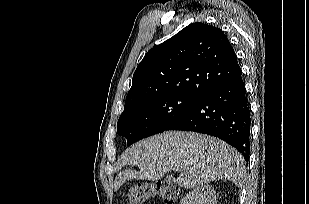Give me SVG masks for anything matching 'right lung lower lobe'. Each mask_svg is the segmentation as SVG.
<instances>
[{"instance_id":"right-lung-lower-lobe-1","label":"right lung lower lobe","mask_w":309,"mask_h":204,"mask_svg":"<svg viewBox=\"0 0 309 204\" xmlns=\"http://www.w3.org/2000/svg\"><path fill=\"white\" fill-rule=\"evenodd\" d=\"M250 107L241 70L226 82L209 88L166 130L195 131L218 137L245 158L250 154Z\"/></svg>"}]
</instances>
